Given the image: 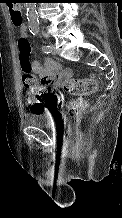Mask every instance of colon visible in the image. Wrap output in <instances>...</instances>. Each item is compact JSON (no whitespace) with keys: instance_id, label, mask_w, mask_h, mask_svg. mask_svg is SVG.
Here are the masks:
<instances>
[{"instance_id":"1","label":"colon","mask_w":122,"mask_h":218,"mask_svg":"<svg viewBox=\"0 0 122 218\" xmlns=\"http://www.w3.org/2000/svg\"><path fill=\"white\" fill-rule=\"evenodd\" d=\"M11 20L15 27L20 28L23 23L22 8L16 0H11L9 3ZM19 51L20 65L22 69L23 85L32 91L37 97H43L47 94V86L42 84L32 73V63L30 60L31 45L26 34L19 33L17 39ZM101 80L95 77L68 79L65 83V89L68 93L78 96L77 99L71 101L66 108V117L72 121L76 120L87 107V101L84 96L96 92ZM32 112H40L42 108L37 104L32 103L28 99Z\"/></svg>"}]
</instances>
